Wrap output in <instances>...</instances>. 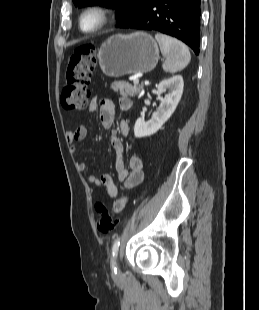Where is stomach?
<instances>
[{
  "instance_id": "1",
  "label": "stomach",
  "mask_w": 259,
  "mask_h": 310,
  "mask_svg": "<svg viewBox=\"0 0 259 310\" xmlns=\"http://www.w3.org/2000/svg\"><path fill=\"white\" fill-rule=\"evenodd\" d=\"M99 65L108 77H121L153 70L159 48L152 36L144 32L109 37L98 50Z\"/></svg>"
}]
</instances>
